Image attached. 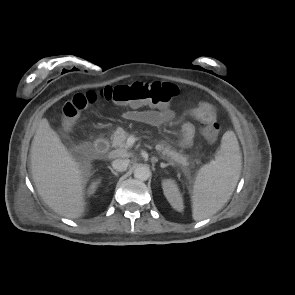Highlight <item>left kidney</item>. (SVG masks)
<instances>
[{
  "label": "left kidney",
  "mask_w": 295,
  "mask_h": 295,
  "mask_svg": "<svg viewBox=\"0 0 295 295\" xmlns=\"http://www.w3.org/2000/svg\"><path fill=\"white\" fill-rule=\"evenodd\" d=\"M162 188L171 206L179 212L183 211V199L176 182L172 179H165L162 182Z\"/></svg>",
  "instance_id": "5707ae66"
}]
</instances>
